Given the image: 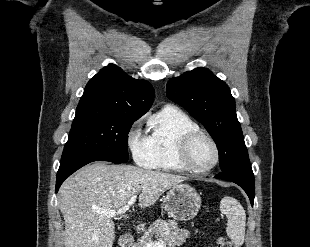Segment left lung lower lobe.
I'll return each mask as SVG.
<instances>
[{
    "instance_id": "1",
    "label": "left lung lower lobe",
    "mask_w": 310,
    "mask_h": 247,
    "mask_svg": "<svg viewBox=\"0 0 310 247\" xmlns=\"http://www.w3.org/2000/svg\"><path fill=\"white\" fill-rule=\"evenodd\" d=\"M215 178L228 180L238 184L247 193L251 205L253 206L255 197V183H254V174L250 164L243 166L239 169L231 171H222L219 174H217Z\"/></svg>"
}]
</instances>
